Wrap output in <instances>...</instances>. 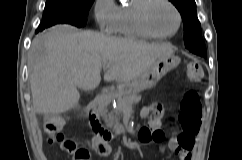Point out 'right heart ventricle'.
Instances as JSON below:
<instances>
[{"label":"right heart ventricle","instance_id":"e07e8e85","mask_svg":"<svg viewBox=\"0 0 242 160\" xmlns=\"http://www.w3.org/2000/svg\"><path fill=\"white\" fill-rule=\"evenodd\" d=\"M142 0H132L129 5L119 6L114 33L129 39H150L140 30L135 20V9Z\"/></svg>","mask_w":242,"mask_h":160}]
</instances>
